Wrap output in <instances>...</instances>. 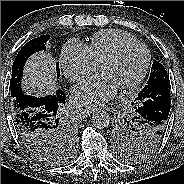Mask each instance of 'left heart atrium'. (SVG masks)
Instances as JSON below:
<instances>
[{
  "instance_id": "39dd6f15",
  "label": "left heart atrium",
  "mask_w": 184,
  "mask_h": 184,
  "mask_svg": "<svg viewBox=\"0 0 184 184\" xmlns=\"http://www.w3.org/2000/svg\"><path fill=\"white\" fill-rule=\"evenodd\" d=\"M117 90L118 86L108 75L98 73L74 87L73 100L78 105L95 108L114 97Z\"/></svg>"
}]
</instances>
